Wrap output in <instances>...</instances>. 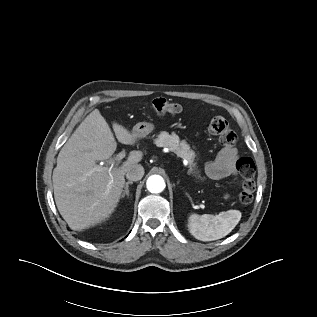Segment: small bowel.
<instances>
[{
    "mask_svg": "<svg viewBox=\"0 0 317 317\" xmlns=\"http://www.w3.org/2000/svg\"><path fill=\"white\" fill-rule=\"evenodd\" d=\"M238 151L235 147L223 148L216 159L206 165V174L212 179H221L235 175V161Z\"/></svg>",
    "mask_w": 317,
    "mask_h": 317,
    "instance_id": "1",
    "label": "small bowel"
}]
</instances>
